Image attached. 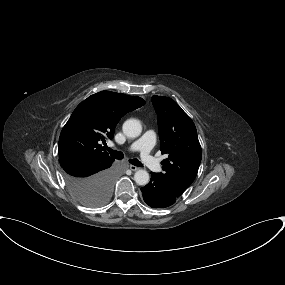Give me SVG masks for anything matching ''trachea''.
Here are the masks:
<instances>
[{"label":"trachea","mask_w":285,"mask_h":285,"mask_svg":"<svg viewBox=\"0 0 285 285\" xmlns=\"http://www.w3.org/2000/svg\"><path fill=\"white\" fill-rule=\"evenodd\" d=\"M104 149H106L110 153L111 157L115 159L121 160L124 157L122 152L113 150L109 148L107 145L104 146ZM129 162L134 166L143 167V164L138 159H130Z\"/></svg>","instance_id":"obj_1"}]
</instances>
